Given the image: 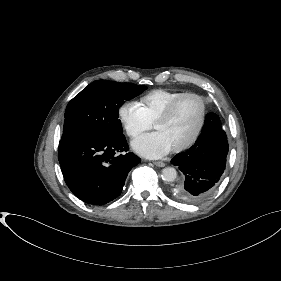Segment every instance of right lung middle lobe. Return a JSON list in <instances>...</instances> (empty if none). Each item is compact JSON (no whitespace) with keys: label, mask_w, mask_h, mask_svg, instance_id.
I'll return each mask as SVG.
<instances>
[{"label":"right lung middle lobe","mask_w":281,"mask_h":281,"mask_svg":"<svg viewBox=\"0 0 281 281\" xmlns=\"http://www.w3.org/2000/svg\"><path fill=\"white\" fill-rule=\"evenodd\" d=\"M146 89V86L107 80L89 84L67 105L59 148L78 139L122 135L119 108Z\"/></svg>","instance_id":"obj_1"}]
</instances>
